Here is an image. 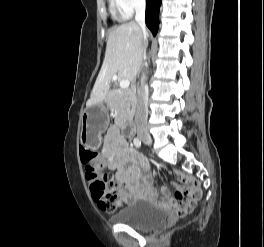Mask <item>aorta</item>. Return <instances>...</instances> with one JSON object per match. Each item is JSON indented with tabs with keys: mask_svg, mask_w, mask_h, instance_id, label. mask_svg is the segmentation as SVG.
<instances>
[{
	"mask_svg": "<svg viewBox=\"0 0 264 247\" xmlns=\"http://www.w3.org/2000/svg\"><path fill=\"white\" fill-rule=\"evenodd\" d=\"M145 79H146V76H145V74H143V75L141 76V83H144Z\"/></svg>",
	"mask_w": 264,
	"mask_h": 247,
	"instance_id": "aorta-1",
	"label": "aorta"
}]
</instances>
